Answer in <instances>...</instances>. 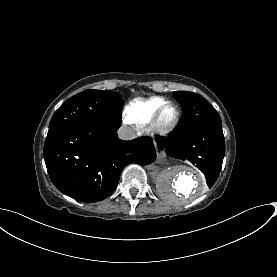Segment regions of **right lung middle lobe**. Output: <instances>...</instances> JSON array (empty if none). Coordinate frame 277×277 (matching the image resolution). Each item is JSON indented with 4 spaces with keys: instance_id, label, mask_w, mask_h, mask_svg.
I'll return each instance as SVG.
<instances>
[{
    "instance_id": "1",
    "label": "right lung middle lobe",
    "mask_w": 277,
    "mask_h": 277,
    "mask_svg": "<svg viewBox=\"0 0 277 277\" xmlns=\"http://www.w3.org/2000/svg\"><path fill=\"white\" fill-rule=\"evenodd\" d=\"M123 100L119 93L85 90L63 103L54 113L48 135L61 129L94 122H121Z\"/></svg>"
}]
</instances>
